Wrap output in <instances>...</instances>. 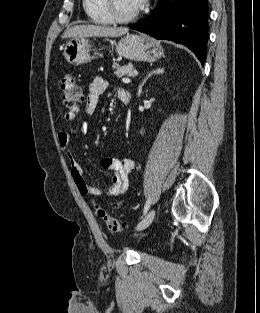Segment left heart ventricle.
I'll return each mask as SVG.
<instances>
[{"label":"left heart ventricle","instance_id":"left-heart-ventricle-1","mask_svg":"<svg viewBox=\"0 0 260 313\" xmlns=\"http://www.w3.org/2000/svg\"><path fill=\"white\" fill-rule=\"evenodd\" d=\"M116 11L120 15H129L138 10L136 0H115Z\"/></svg>","mask_w":260,"mask_h":313}]
</instances>
